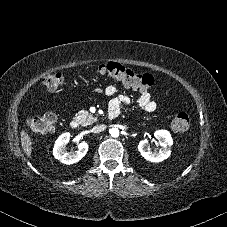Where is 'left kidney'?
Returning <instances> with one entry per match:
<instances>
[{"instance_id":"left-kidney-1","label":"left kidney","mask_w":227,"mask_h":227,"mask_svg":"<svg viewBox=\"0 0 227 227\" xmlns=\"http://www.w3.org/2000/svg\"><path fill=\"white\" fill-rule=\"evenodd\" d=\"M154 137L159 140L161 146V149L158 152L150 151L147 139H143L139 142L138 150L146 160L156 163L161 162L170 156V147L173 145V140L171 134L167 130L155 131Z\"/></svg>"}]
</instances>
